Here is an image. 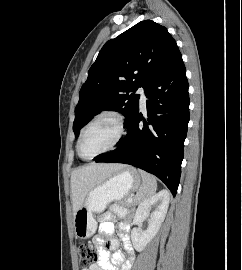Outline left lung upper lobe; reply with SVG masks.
<instances>
[{
	"instance_id": "5c2ea615",
	"label": "left lung upper lobe",
	"mask_w": 242,
	"mask_h": 270,
	"mask_svg": "<svg viewBox=\"0 0 242 270\" xmlns=\"http://www.w3.org/2000/svg\"><path fill=\"white\" fill-rule=\"evenodd\" d=\"M180 55L167 29L151 20L139 22L106 42L80 90L73 123L75 137L102 110L121 112L127 127L139 110V95L132 92L138 87L146 89Z\"/></svg>"
}]
</instances>
